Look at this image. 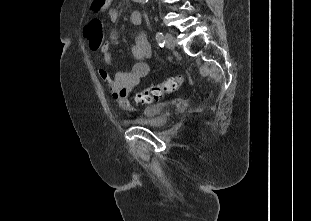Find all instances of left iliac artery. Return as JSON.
<instances>
[{"instance_id": "obj_1", "label": "left iliac artery", "mask_w": 311, "mask_h": 221, "mask_svg": "<svg viewBox=\"0 0 311 221\" xmlns=\"http://www.w3.org/2000/svg\"><path fill=\"white\" fill-rule=\"evenodd\" d=\"M156 41L160 47H163L165 44V38L162 32L158 31L156 33Z\"/></svg>"}]
</instances>
